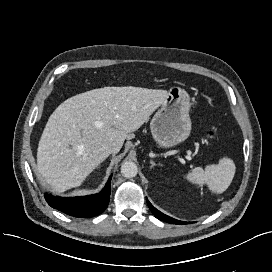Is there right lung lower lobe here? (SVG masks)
<instances>
[{
    "instance_id": "1",
    "label": "right lung lower lobe",
    "mask_w": 272,
    "mask_h": 272,
    "mask_svg": "<svg viewBox=\"0 0 272 272\" xmlns=\"http://www.w3.org/2000/svg\"><path fill=\"white\" fill-rule=\"evenodd\" d=\"M111 179L112 175L102 191L97 194L73 198L54 197L51 194H45V199L51 207L67 215L81 218L93 217L101 214L108 206Z\"/></svg>"
}]
</instances>
